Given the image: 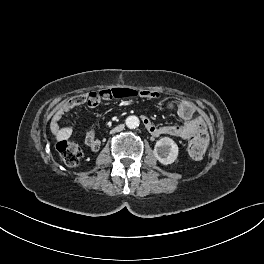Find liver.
Here are the masks:
<instances>
[{
    "instance_id": "obj_1",
    "label": "liver",
    "mask_w": 264,
    "mask_h": 264,
    "mask_svg": "<svg viewBox=\"0 0 264 264\" xmlns=\"http://www.w3.org/2000/svg\"><path fill=\"white\" fill-rule=\"evenodd\" d=\"M71 132H72L71 128H62L60 130H56L55 132L56 140L61 141V140L69 138L71 135Z\"/></svg>"
}]
</instances>
